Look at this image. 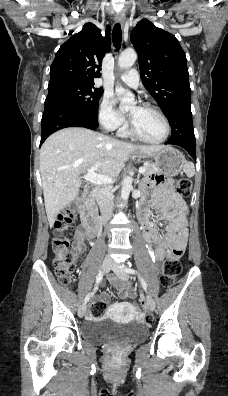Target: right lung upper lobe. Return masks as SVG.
Segmentation results:
<instances>
[{
	"label": "right lung upper lobe",
	"mask_w": 228,
	"mask_h": 396,
	"mask_svg": "<svg viewBox=\"0 0 228 396\" xmlns=\"http://www.w3.org/2000/svg\"><path fill=\"white\" fill-rule=\"evenodd\" d=\"M110 27L106 35L93 23H86L82 30L67 40L56 53L50 69L49 86L65 82L93 84L100 77L101 63L110 50Z\"/></svg>",
	"instance_id": "obj_1"
}]
</instances>
